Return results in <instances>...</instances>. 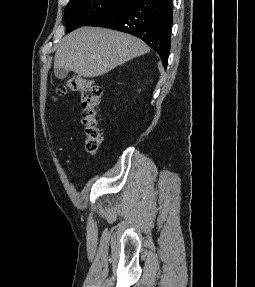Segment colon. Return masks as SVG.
Masks as SVG:
<instances>
[{"label": "colon", "mask_w": 255, "mask_h": 287, "mask_svg": "<svg viewBox=\"0 0 255 287\" xmlns=\"http://www.w3.org/2000/svg\"><path fill=\"white\" fill-rule=\"evenodd\" d=\"M68 92H75L80 96L85 148L89 154L95 155L103 142L99 109L102 90L92 79L73 75L56 87V96L58 97L64 96Z\"/></svg>", "instance_id": "5ec220e1"}]
</instances>
